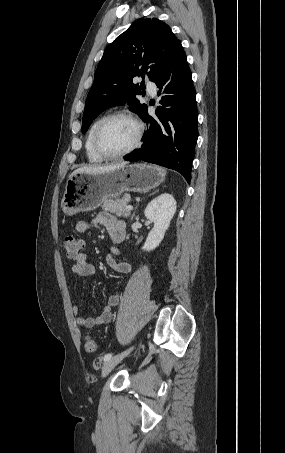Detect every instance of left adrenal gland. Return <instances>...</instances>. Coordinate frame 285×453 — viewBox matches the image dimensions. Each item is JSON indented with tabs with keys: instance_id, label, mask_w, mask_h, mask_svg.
Segmentation results:
<instances>
[{
	"instance_id": "1",
	"label": "left adrenal gland",
	"mask_w": 285,
	"mask_h": 453,
	"mask_svg": "<svg viewBox=\"0 0 285 453\" xmlns=\"http://www.w3.org/2000/svg\"><path fill=\"white\" fill-rule=\"evenodd\" d=\"M134 216H135V212H134V213L132 214V217H131V219H132V218H133Z\"/></svg>"
}]
</instances>
